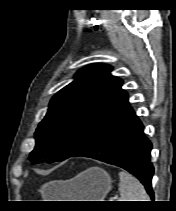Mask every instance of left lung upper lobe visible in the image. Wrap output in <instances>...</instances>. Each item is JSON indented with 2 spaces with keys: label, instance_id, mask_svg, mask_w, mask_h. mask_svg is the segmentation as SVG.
Masks as SVG:
<instances>
[{
  "label": "left lung upper lobe",
  "instance_id": "1",
  "mask_svg": "<svg viewBox=\"0 0 176 211\" xmlns=\"http://www.w3.org/2000/svg\"><path fill=\"white\" fill-rule=\"evenodd\" d=\"M112 67L91 64L80 69L75 81L61 89L35 132L34 163L63 161L75 154L102 125L129 105L123 81Z\"/></svg>",
  "mask_w": 176,
  "mask_h": 211
}]
</instances>
